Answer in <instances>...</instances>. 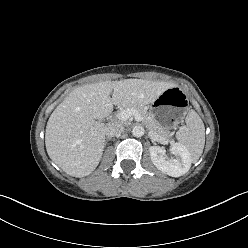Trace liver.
I'll list each match as a JSON object with an SVG mask.
<instances>
[{
	"label": "liver",
	"mask_w": 248,
	"mask_h": 248,
	"mask_svg": "<svg viewBox=\"0 0 248 248\" xmlns=\"http://www.w3.org/2000/svg\"><path fill=\"white\" fill-rule=\"evenodd\" d=\"M173 86L168 82L125 79L75 88L47 122L45 145L49 157L70 176L90 175L105 147V126L95 120L107 117L113 105L142 107L152 103Z\"/></svg>",
	"instance_id": "6515ba94"
}]
</instances>
